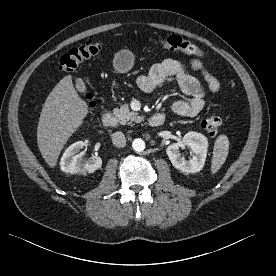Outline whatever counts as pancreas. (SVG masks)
<instances>
[{
	"label": "pancreas",
	"instance_id": "1",
	"mask_svg": "<svg viewBox=\"0 0 276 276\" xmlns=\"http://www.w3.org/2000/svg\"><path fill=\"white\" fill-rule=\"evenodd\" d=\"M115 116L120 120L122 125L139 123L142 121V117L138 116V113L130 111L129 105L124 104L119 109H114Z\"/></svg>",
	"mask_w": 276,
	"mask_h": 276
}]
</instances>
